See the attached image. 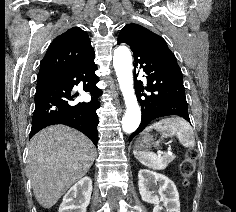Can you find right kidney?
Masks as SVG:
<instances>
[{
  "label": "right kidney",
  "mask_w": 236,
  "mask_h": 212,
  "mask_svg": "<svg viewBox=\"0 0 236 212\" xmlns=\"http://www.w3.org/2000/svg\"><path fill=\"white\" fill-rule=\"evenodd\" d=\"M92 193V180L84 177L79 180L63 197L59 212H86Z\"/></svg>",
  "instance_id": "obj_1"
}]
</instances>
